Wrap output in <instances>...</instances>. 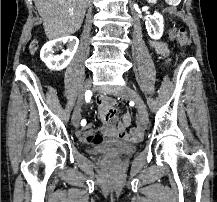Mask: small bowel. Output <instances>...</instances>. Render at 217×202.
Returning a JSON list of instances; mask_svg holds the SVG:
<instances>
[{"mask_svg":"<svg viewBox=\"0 0 217 202\" xmlns=\"http://www.w3.org/2000/svg\"><path fill=\"white\" fill-rule=\"evenodd\" d=\"M151 47L155 52L163 57L169 56V50L165 43L160 41H150ZM168 63V59L165 60V64ZM96 109H100V115L98 121H104V127L102 132H96L91 124L86 126V130H78L76 135L81 142L99 144L106 139H118L127 140L131 142H137L142 137V131H131L129 129L132 121V114L130 111H126L122 115V119L119 123L117 113L116 101H95Z\"/></svg>","mask_w":217,"mask_h":202,"instance_id":"obj_1","label":"small bowel"}]
</instances>
